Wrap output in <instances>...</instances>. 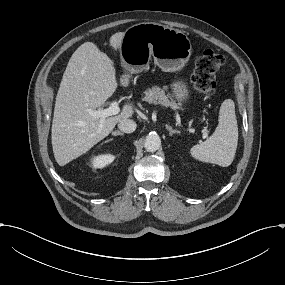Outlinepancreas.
<instances>
[{"instance_id":"obj_1","label":"pancreas","mask_w":285,"mask_h":285,"mask_svg":"<svg viewBox=\"0 0 285 285\" xmlns=\"http://www.w3.org/2000/svg\"><path fill=\"white\" fill-rule=\"evenodd\" d=\"M144 100L150 104H157L163 107H170L171 109H177L178 105L174 101H170L164 94L163 90L158 87H154L152 90L145 92Z\"/></svg>"}]
</instances>
